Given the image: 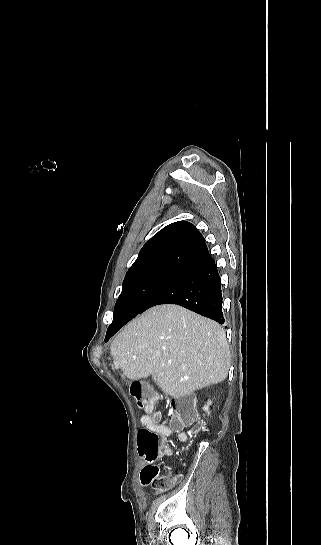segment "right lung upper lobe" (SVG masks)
Here are the masks:
<instances>
[{"label":"right lung upper lobe","instance_id":"obj_1","mask_svg":"<svg viewBox=\"0 0 321 545\" xmlns=\"http://www.w3.org/2000/svg\"><path fill=\"white\" fill-rule=\"evenodd\" d=\"M205 248V240L194 225L174 222L145 243L129 271L155 265L178 268Z\"/></svg>","mask_w":321,"mask_h":545}]
</instances>
